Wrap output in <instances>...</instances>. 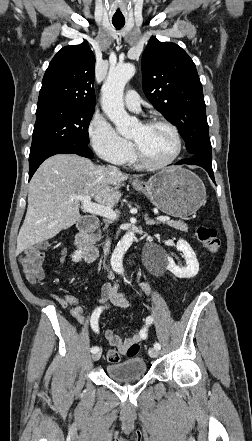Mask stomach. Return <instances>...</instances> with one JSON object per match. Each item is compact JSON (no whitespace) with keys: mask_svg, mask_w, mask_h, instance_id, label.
I'll use <instances>...</instances> for the list:
<instances>
[{"mask_svg":"<svg viewBox=\"0 0 252 441\" xmlns=\"http://www.w3.org/2000/svg\"><path fill=\"white\" fill-rule=\"evenodd\" d=\"M133 187L162 212L180 218L195 213L206 198L202 180L182 167L160 171L147 182L134 183Z\"/></svg>","mask_w":252,"mask_h":441,"instance_id":"stomach-1","label":"stomach"}]
</instances>
